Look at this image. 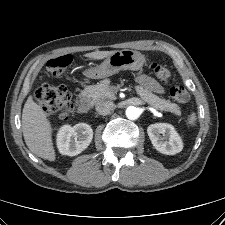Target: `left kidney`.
I'll return each mask as SVG.
<instances>
[{
  "label": "left kidney",
  "instance_id": "5707ae66",
  "mask_svg": "<svg viewBox=\"0 0 225 225\" xmlns=\"http://www.w3.org/2000/svg\"><path fill=\"white\" fill-rule=\"evenodd\" d=\"M147 133L155 149L162 154L174 155L183 149L182 140L171 124H151Z\"/></svg>",
  "mask_w": 225,
  "mask_h": 225
}]
</instances>
